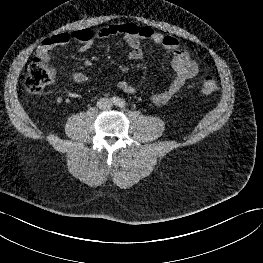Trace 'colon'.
<instances>
[{
  "instance_id": "5ec220e1",
  "label": "colon",
  "mask_w": 263,
  "mask_h": 263,
  "mask_svg": "<svg viewBox=\"0 0 263 263\" xmlns=\"http://www.w3.org/2000/svg\"><path fill=\"white\" fill-rule=\"evenodd\" d=\"M56 71L50 64L40 58H34L28 65L27 76L25 78V88L31 93H38L43 88L54 81ZM219 89L215 78L207 76L201 84V92L205 95L215 93Z\"/></svg>"
}]
</instances>
